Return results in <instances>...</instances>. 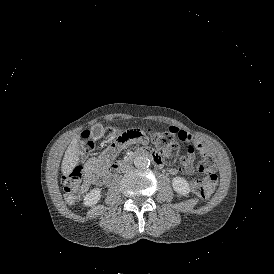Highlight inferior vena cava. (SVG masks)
<instances>
[{"instance_id": "1", "label": "inferior vena cava", "mask_w": 274, "mask_h": 274, "mask_svg": "<svg viewBox=\"0 0 274 274\" xmlns=\"http://www.w3.org/2000/svg\"><path fill=\"white\" fill-rule=\"evenodd\" d=\"M129 169H131V165H129V167H128Z\"/></svg>"}]
</instances>
